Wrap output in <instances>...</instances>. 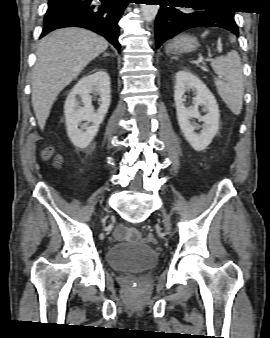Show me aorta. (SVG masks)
<instances>
[{
    "mask_svg": "<svg viewBox=\"0 0 270 338\" xmlns=\"http://www.w3.org/2000/svg\"><path fill=\"white\" fill-rule=\"evenodd\" d=\"M141 10L144 20L149 23L155 19L159 10V5L142 4Z\"/></svg>",
    "mask_w": 270,
    "mask_h": 338,
    "instance_id": "762f6f07",
    "label": "aorta"
}]
</instances>
